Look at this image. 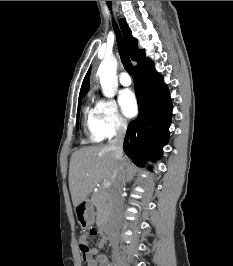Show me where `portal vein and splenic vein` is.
Here are the masks:
<instances>
[{
    "instance_id": "portal-vein-and-splenic-vein-1",
    "label": "portal vein and splenic vein",
    "mask_w": 233,
    "mask_h": 266,
    "mask_svg": "<svg viewBox=\"0 0 233 266\" xmlns=\"http://www.w3.org/2000/svg\"><path fill=\"white\" fill-rule=\"evenodd\" d=\"M110 185H111V182H110L109 180H104V181H103V186H104L105 188H108Z\"/></svg>"
}]
</instances>
